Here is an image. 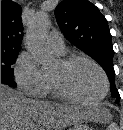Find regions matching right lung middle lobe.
<instances>
[{
    "mask_svg": "<svg viewBox=\"0 0 123 130\" xmlns=\"http://www.w3.org/2000/svg\"><path fill=\"white\" fill-rule=\"evenodd\" d=\"M19 50L16 51H3L1 50V83L16 87L13 80L12 65L16 61Z\"/></svg>",
    "mask_w": 123,
    "mask_h": 130,
    "instance_id": "obj_1",
    "label": "right lung middle lobe"
}]
</instances>
